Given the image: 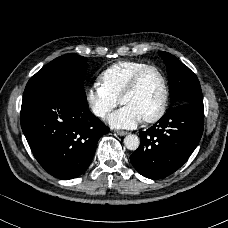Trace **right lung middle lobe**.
I'll return each instance as SVG.
<instances>
[{"mask_svg":"<svg viewBox=\"0 0 228 228\" xmlns=\"http://www.w3.org/2000/svg\"><path fill=\"white\" fill-rule=\"evenodd\" d=\"M87 59L76 54L58 57L38 71L28 81L25 91L40 87L66 89L76 97L86 100L84 78Z\"/></svg>","mask_w":228,"mask_h":228,"instance_id":"dd1d6c3e","label":"right lung middle lobe"}]
</instances>
